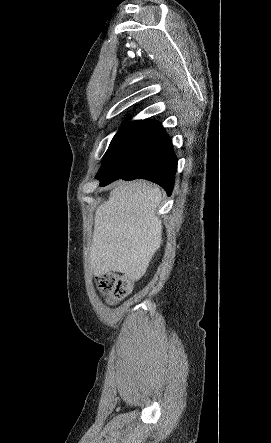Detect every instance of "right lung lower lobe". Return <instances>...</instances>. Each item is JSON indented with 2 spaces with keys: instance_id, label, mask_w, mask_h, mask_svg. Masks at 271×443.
Listing matches in <instances>:
<instances>
[{
  "instance_id": "1",
  "label": "right lung lower lobe",
  "mask_w": 271,
  "mask_h": 443,
  "mask_svg": "<svg viewBox=\"0 0 271 443\" xmlns=\"http://www.w3.org/2000/svg\"><path fill=\"white\" fill-rule=\"evenodd\" d=\"M176 170L177 157L161 123L143 120L127 137L115 160L96 178L100 186L118 179H147L159 184L170 195Z\"/></svg>"
}]
</instances>
